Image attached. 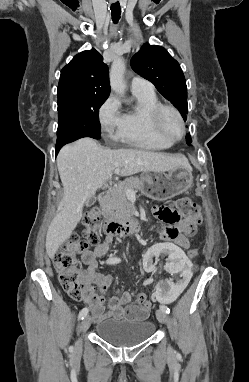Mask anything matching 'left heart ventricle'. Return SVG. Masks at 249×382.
<instances>
[{
    "label": "left heart ventricle",
    "instance_id": "obj_1",
    "mask_svg": "<svg viewBox=\"0 0 249 382\" xmlns=\"http://www.w3.org/2000/svg\"><path fill=\"white\" fill-rule=\"evenodd\" d=\"M163 124H164L166 131L171 136L176 137L180 134V131H181L180 123H179L178 119L175 117V115H173L172 113L167 112L164 115Z\"/></svg>",
    "mask_w": 249,
    "mask_h": 382
}]
</instances>
